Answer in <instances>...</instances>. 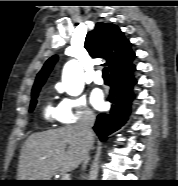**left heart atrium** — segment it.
I'll return each instance as SVG.
<instances>
[{
	"label": "left heart atrium",
	"mask_w": 178,
	"mask_h": 186,
	"mask_svg": "<svg viewBox=\"0 0 178 186\" xmlns=\"http://www.w3.org/2000/svg\"><path fill=\"white\" fill-rule=\"evenodd\" d=\"M91 102L97 109H102L104 106L103 94L100 90H94L91 95Z\"/></svg>",
	"instance_id": "obj_1"
}]
</instances>
